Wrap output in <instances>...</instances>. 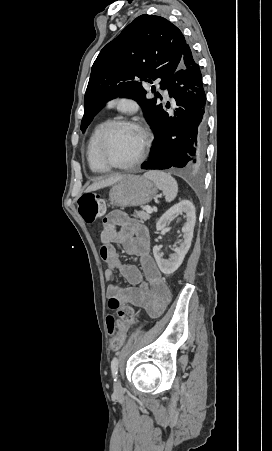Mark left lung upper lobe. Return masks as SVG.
<instances>
[{
  "label": "left lung upper lobe",
  "instance_id": "1",
  "mask_svg": "<svg viewBox=\"0 0 272 451\" xmlns=\"http://www.w3.org/2000/svg\"><path fill=\"white\" fill-rule=\"evenodd\" d=\"M187 45L181 31L163 17L141 15L132 21L101 50L92 66L81 130L85 131L103 105L116 97L136 100L146 121L156 126L162 104L146 97L141 81L151 83L160 78V88L166 89ZM155 95L162 99L159 93Z\"/></svg>",
  "mask_w": 272,
  "mask_h": 451
}]
</instances>
